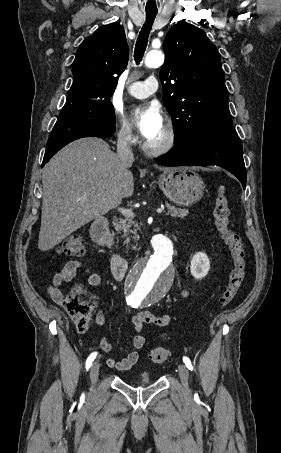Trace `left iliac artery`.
Masks as SVG:
<instances>
[{"label": "left iliac artery", "mask_w": 281, "mask_h": 453, "mask_svg": "<svg viewBox=\"0 0 281 453\" xmlns=\"http://www.w3.org/2000/svg\"><path fill=\"white\" fill-rule=\"evenodd\" d=\"M135 308H137V307H135ZM183 362L185 363L186 367H187L189 370H191V371L193 370V366H192L191 361H190L189 358L183 357Z\"/></svg>", "instance_id": "1"}]
</instances>
